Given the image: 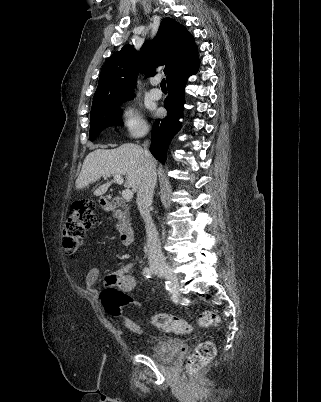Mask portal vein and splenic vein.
<instances>
[{
	"instance_id": "obj_1",
	"label": "portal vein and splenic vein",
	"mask_w": 321,
	"mask_h": 402,
	"mask_svg": "<svg viewBox=\"0 0 321 402\" xmlns=\"http://www.w3.org/2000/svg\"><path fill=\"white\" fill-rule=\"evenodd\" d=\"M107 176L108 175H105V177H107ZM113 177L117 184H119V185L123 184L124 180L121 175L116 174ZM122 197L125 200H130L133 197V192L130 189H125L122 192Z\"/></svg>"
}]
</instances>
